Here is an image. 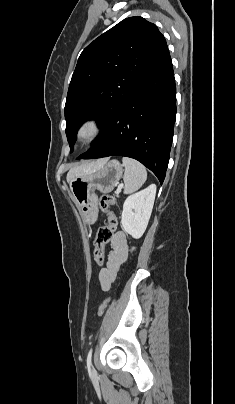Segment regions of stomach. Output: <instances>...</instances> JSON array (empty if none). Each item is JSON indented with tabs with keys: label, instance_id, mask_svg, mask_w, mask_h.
<instances>
[{
	"label": "stomach",
	"instance_id": "0dacf381",
	"mask_svg": "<svg viewBox=\"0 0 235 404\" xmlns=\"http://www.w3.org/2000/svg\"><path fill=\"white\" fill-rule=\"evenodd\" d=\"M122 167L116 159L107 160L98 170L70 181L74 201L86 224L95 223L98 217V197L95 191L104 194L113 191L122 177Z\"/></svg>",
	"mask_w": 235,
	"mask_h": 404
}]
</instances>
